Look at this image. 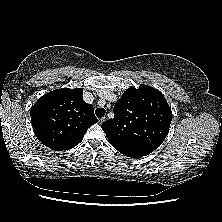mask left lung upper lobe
Returning a JSON list of instances; mask_svg holds the SVG:
<instances>
[{
  "label": "left lung upper lobe",
  "instance_id": "1",
  "mask_svg": "<svg viewBox=\"0 0 222 222\" xmlns=\"http://www.w3.org/2000/svg\"><path fill=\"white\" fill-rule=\"evenodd\" d=\"M113 111L114 118L101 125L112 146L156 150L166 138L172 121V111L163 94L143 84L127 89Z\"/></svg>",
  "mask_w": 222,
  "mask_h": 222
}]
</instances>
